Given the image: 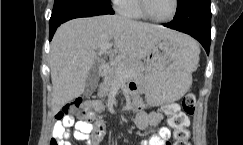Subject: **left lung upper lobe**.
<instances>
[{
	"instance_id": "1",
	"label": "left lung upper lobe",
	"mask_w": 243,
	"mask_h": 145,
	"mask_svg": "<svg viewBox=\"0 0 243 145\" xmlns=\"http://www.w3.org/2000/svg\"><path fill=\"white\" fill-rule=\"evenodd\" d=\"M176 13L207 35H211L210 0H177Z\"/></svg>"
}]
</instances>
